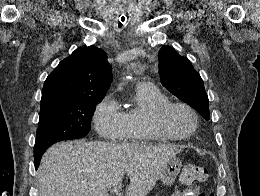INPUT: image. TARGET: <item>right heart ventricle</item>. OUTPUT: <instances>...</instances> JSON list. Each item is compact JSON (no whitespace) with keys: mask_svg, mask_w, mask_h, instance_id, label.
Instances as JSON below:
<instances>
[{"mask_svg":"<svg viewBox=\"0 0 260 196\" xmlns=\"http://www.w3.org/2000/svg\"><path fill=\"white\" fill-rule=\"evenodd\" d=\"M169 101L156 86L136 83L131 88V104L123 111L125 129L135 130L133 137L122 139L121 143H150L164 140L147 126L151 112L160 104Z\"/></svg>","mask_w":260,"mask_h":196,"instance_id":"obj_1","label":"right heart ventricle"}]
</instances>
